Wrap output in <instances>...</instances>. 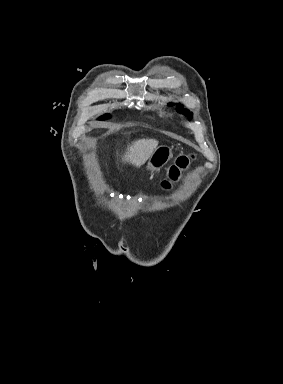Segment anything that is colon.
I'll use <instances>...</instances> for the list:
<instances>
[{
	"instance_id": "colon-1",
	"label": "colon",
	"mask_w": 283,
	"mask_h": 384,
	"mask_svg": "<svg viewBox=\"0 0 283 384\" xmlns=\"http://www.w3.org/2000/svg\"><path fill=\"white\" fill-rule=\"evenodd\" d=\"M191 159H192V156H190V155H182V156L178 157V159L176 160V163L170 168V171H169L170 180H177L181 171H183L184 169L187 168ZM163 186L165 188L169 187L170 182L164 181Z\"/></svg>"
}]
</instances>
